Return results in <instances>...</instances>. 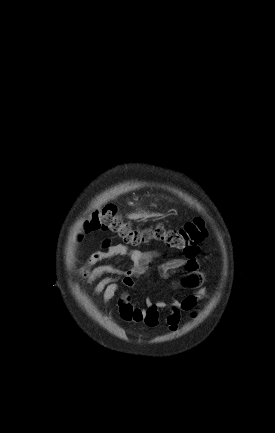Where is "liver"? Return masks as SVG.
Wrapping results in <instances>:
<instances>
[{
	"instance_id": "1",
	"label": "liver",
	"mask_w": 275,
	"mask_h": 433,
	"mask_svg": "<svg viewBox=\"0 0 275 433\" xmlns=\"http://www.w3.org/2000/svg\"><path fill=\"white\" fill-rule=\"evenodd\" d=\"M143 216H145V214H132V215H130L129 216V218L130 219H138V218H141V217H143Z\"/></svg>"
}]
</instances>
